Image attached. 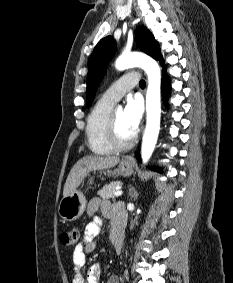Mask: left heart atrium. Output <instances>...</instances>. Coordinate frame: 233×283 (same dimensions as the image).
Instances as JSON below:
<instances>
[{"label":"left heart atrium","instance_id":"left-heart-atrium-1","mask_svg":"<svg viewBox=\"0 0 233 283\" xmlns=\"http://www.w3.org/2000/svg\"><path fill=\"white\" fill-rule=\"evenodd\" d=\"M123 112L128 127L133 133H136L143 116V105L141 100L138 97L128 98Z\"/></svg>","mask_w":233,"mask_h":283}]
</instances>
